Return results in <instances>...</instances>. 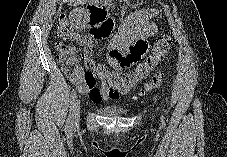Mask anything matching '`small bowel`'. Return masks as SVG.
Instances as JSON below:
<instances>
[{
	"label": "small bowel",
	"instance_id": "small-bowel-1",
	"mask_svg": "<svg viewBox=\"0 0 227 157\" xmlns=\"http://www.w3.org/2000/svg\"><path fill=\"white\" fill-rule=\"evenodd\" d=\"M161 14L156 8H147L131 13L121 24L117 33L109 40L106 48L100 47L98 56L104 55L106 63L117 72H121L131 64L123 62H140L143 54H147L148 37L157 33L158 27L154 19ZM142 77H134V87ZM74 83L81 94L88 95L92 102L116 100L119 92L113 89L105 80H101V87L91 84L86 79V73L81 67L75 71ZM131 87V88H132Z\"/></svg>",
	"mask_w": 227,
	"mask_h": 157
}]
</instances>
